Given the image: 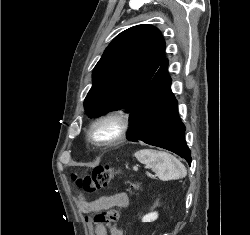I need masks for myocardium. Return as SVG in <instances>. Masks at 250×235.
<instances>
[{
  "instance_id": "f54148a6",
  "label": "myocardium",
  "mask_w": 250,
  "mask_h": 235,
  "mask_svg": "<svg viewBox=\"0 0 250 235\" xmlns=\"http://www.w3.org/2000/svg\"><path fill=\"white\" fill-rule=\"evenodd\" d=\"M111 126L113 133L109 137H100L97 132L103 126ZM130 129L129 114L121 109H112L95 117L87 131L90 144L98 148H107L121 143Z\"/></svg>"
}]
</instances>
